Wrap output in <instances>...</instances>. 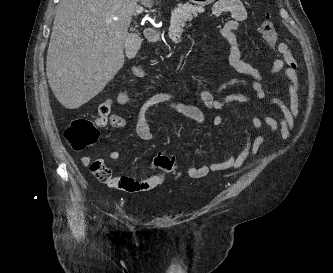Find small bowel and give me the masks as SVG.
Wrapping results in <instances>:
<instances>
[{"label":"small bowel","mask_w":333,"mask_h":273,"mask_svg":"<svg viewBox=\"0 0 333 273\" xmlns=\"http://www.w3.org/2000/svg\"><path fill=\"white\" fill-rule=\"evenodd\" d=\"M215 15L220 16L225 13L231 15V19L226 21L219 29L221 37L228 45V60L232 68L240 75L233 77L220 84L215 90L195 89L189 91V94L199 98L205 107L213 112L211 122L215 126L222 125L224 117L219 110L229 103H249L250 99L240 93H230L222 96V93L233 87H246L251 89L258 99H265L267 93L263 87L264 75L254 65L244 61L238 45L236 33L240 29V24L247 18V11L240 0H219L213 8ZM272 49L279 55L271 66L269 73L276 75L283 73L286 77L285 85L289 95V102L280 98H273L271 102L278 106L279 114L277 117L270 115L251 116V124L258 132V135L252 139L248 126L242 123V131L245 135V145L239 153L231 152L229 156L221 162L204 163L198 167L190 164L186 165V173L192 179H200L211 172L239 169L245 160L250 156H257L260 147L265 141L263 133L264 127L274 134L279 135L281 139L287 140L290 137L300 111V83L298 78V64L293 56L291 49L284 42L277 43ZM132 77H145L143 63H137L134 66ZM116 101L120 105H126L130 102V95L127 90H121L116 96ZM113 100H100L96 112V123L99 127L110 125L113 128H124L127 121L117 116L116 111H111ZM154 107L173 110L186 118L201 124L204 121V114L197 106L186 104L177 100V94L172 92H160L147 98L139 108L136 118V132L138 137L144 141H150L153 138L152 131L147 121V114ZM161 154L157 155L160 156ZM120 158L118 151H111L109 159L117 161ZM93 161L92 156L84 155L81 162L84 165H90ZM168 172L158 170L147 178L134 179L128 176H118L110 186L125 192H145L160 186L166 179Z\"/></svg>","instance_id":"obj_1"}]
</instances>
